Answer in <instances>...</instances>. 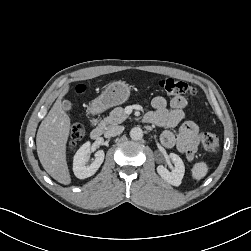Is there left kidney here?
<instances>
[{
	"label": "left kidney",
	"instance_id": "1",
	"mask_svg": "<svg viewBox=\"0 0 251 251\" xmlns=\"http://www.w3.org/2000/svg\"><path fill=\"white\" fill-rule=\"evenodd\" d=\"M169 157L174 163L172 171H168L163 165L157 167V172L163 180L173 186H179L182 182L185 166L182 159L175 153H170Z\"/></svg>",
	"mask_w": 251,
	"mask_h": 251
}]
</instances>
